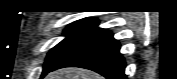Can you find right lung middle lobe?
Instances as JSON below:
<instances>
[{
	"mask_svg": "<svg viewBox=\"0 0 177 79\" xmlns=\"http://www.w3.org/2000/svg\"><path fill=\"white\" fill-rule=\"evenodd\" d=\"M98 20L85 19L70 24L64 31L67 36L63 41L56 45L47 55L42 77L67 54L78 47L95 31L98 26Z\"/></svg>",
	"mask_w": 177,
	"mask_h": 79,
	"instance_id": "obj_1",
	"label": "right lung middle lobe"
}]
</instances>
